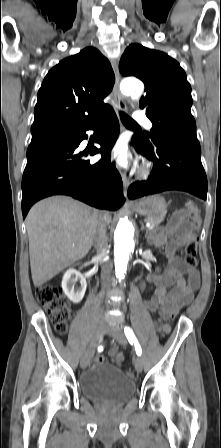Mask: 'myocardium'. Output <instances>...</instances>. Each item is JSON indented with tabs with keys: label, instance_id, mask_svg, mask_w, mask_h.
<instances>
[{
	"label": "myocardium",
	"instance_id": "obj_1",
	"mask_svg": "<svg viewBox=\"0 0 221 448\" xmlns=\"http://www.w3.org/2000/svg\"><path fill=\"white\" fill-rule=\"evenodd\" d=\"M150 171H151V168H150L149 165H147V166L145 167L144 171H143V174H144V175H148V174L150 173Z\"/></svg>",
	"mask_w": 221,
	"mask_h": 448
}]
</instances>
